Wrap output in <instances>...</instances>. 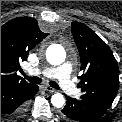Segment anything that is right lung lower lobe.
<instances>
[{"mask_svg": "<svg viewBox=\"0 0 122 122\" xmlns=\"http://www.w3.org/2000/svg\"><path fill=\"white\" fill-rule=\"evenodd\" d=\"M38 89V86L32 84L22 87H1V120L6 122L21 117L25 109V102L33 98Z\"/></svg>", "mask_w": 122, "mask_h": 122, "instance_id": "obj_1", "label": "right lung lower lobe"}]
</instances>
